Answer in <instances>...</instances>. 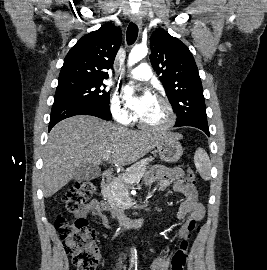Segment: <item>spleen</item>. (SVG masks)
I'll return each mask as SVG.
<instances>
[{"mask_svg":"<svg viewBox=\"0 0 267 270\" xmlns=\"http://www.w3.org/2000/svg\"><path fill=\"white\" fill-rule=\"evenodd\" d=\"M194 163L197 171L199 172L202 179L208 181L211 179V162L208 154L204 149L198 148L194 154Z\"/></svg>","mask_w":267,"mask_h":270,"instance_id":"spleen-1","label":"spleen"}]
</instances>
